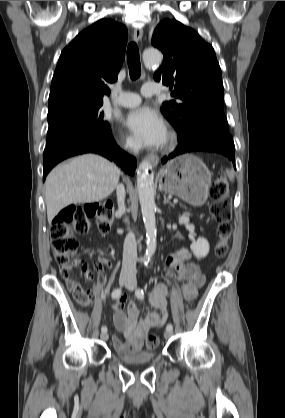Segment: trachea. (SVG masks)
<instances>
[{"label":"trachea","mask_w":285,"mask_h":418,"mask_svg":"<svg viewBox=\"0 0 285 418\" xmlns=\"http://www.w3.org/2000/svg\"><path fill=\"white\" fill-rule=\"evenodd\" d=\"M127 63L129 67V74L132 80L140 77L141 64L139 57V49L135 42H131L127 48Z\"/></svg>","instance_id":"3493384b"}]
</instances>
